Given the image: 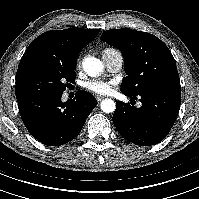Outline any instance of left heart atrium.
I'll return each mask as SVG.
<instances>
[{
	"label": "left heart atrium",
	"instance_id": "left-heart-atrium-1",
	"mask_svg": "<svg viewBox=\"0 0 199 199\" xmlns=\"http://www.w3.org/2000/svg\"><path fill=\"white\" fill-rule=\"evenodd\" d=\"M114 85L113 81L101 78H90L83 84L84 88L96 94H108Z\"/></svg>",
	"mask_w": 199,
	"mask_h": 199
}]
</instances>
